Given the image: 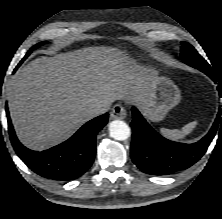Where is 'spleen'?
<instances>
[{"label":"spleen","instance_id":"1","mask_svg":"<svg viewBox=\"0 0 222 219\" xmlns=\"http://www.w3.org/2000/svg\"><path fill=\"white\" fill-rule=\"evenodd\" d=\"M197 121H193L185 125L181 130L179 129H161V133L171 139V140H180L184 138L187 134L191 133L193 129L196 127Z\"/></svg>","mask_w":222,"mask_h":219}]
</instances>
